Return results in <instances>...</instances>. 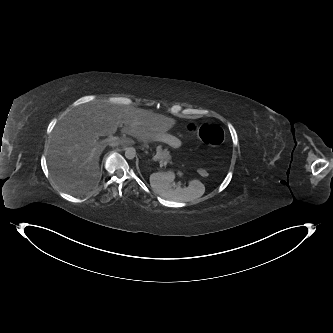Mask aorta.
<instances>
[{
  "label": "aorta",
  "mask_w": 333,
  "mask_h": 333,
  "mask_svg": "<svg viewBox=\"0 0 333 333\" xmlns=\"http://www.w3.org/2000/svg\"><path fill=\"white\" fill-rule=\"evenodd\" d=\"M136 156V150L133 147L126 148L125 157L129 160L134 159Z\"/></svg>",
  "instance_id": "762f6f07"
}]
</instances>
